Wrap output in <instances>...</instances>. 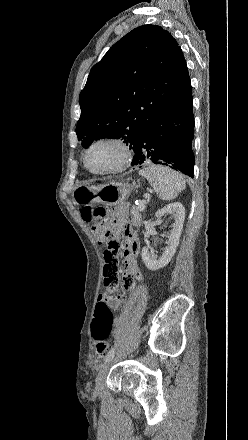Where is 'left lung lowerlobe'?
Instances as JSON below:
<instances>
[{
    "instance_id": "1",
    "label": "left lung lower lobe",
    "mask_w": 248,
    "mask_h": 440,
    "mask_svg": "<svg viewBox=\"0 0 248 440\" xmlns=\"http://www.w3.org/2000/svg\"><path fill=\"white\" fill-rule=\"evenodd\" d=\"M191 84L171 99L152 119L133 147L132 165L146 162L167 165L193 178L194 136Z\"/></svg>"
}]
</instances>
